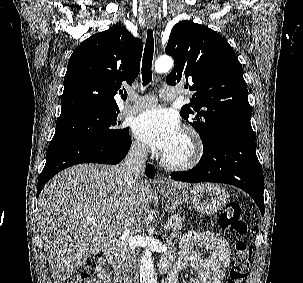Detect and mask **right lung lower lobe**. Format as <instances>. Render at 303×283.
I'll list each match as a JSON object with an SVG mask.
<instances>
[{
	"label": "right lung lower lobe",
	"instance_id": "98d812e1",
	"mask_svg": "<svg viewBox=\"0 0 303 283\" xmlns=\"http://www.w3.org/2000/svg\"><path fill=\"white\" fill-rule=\"evenodd\" d=\"M131 139L127 136L118 143H104L84 139H68L50 142L46 164L39 176L37 197L44 185L58 172L72 165L81 163L117 164L128 153ZM146 175L153 178L155 168L151 164L146 167Z\"/></svg>",
	"mask_w": 303,
	"mask_h": 283
}]
</instances>
